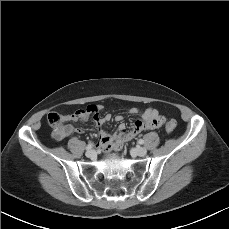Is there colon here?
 Instances as JSON below:
<instances>
[{
  "mask_svg": "<svg viewBox=\"0 0 229 229\" xmlns=\"http://www.w3.org/2000/svg\"><path fill=\"white\" fill-rule=\"evenodd\" d=\"M87 114H95L98 111V107L95 105H90L84 110ZM48 123L49 125L54 129L56 137L60 138L63 137L66 130L67 125L62 122L60 115L54 111H51L48 114ZM162 123V118L156 114L155 112H152L151 114V126H158ZM177 123L174 120H169L165 124V129L168 132H172L176 129Z\"/></svg>",
  "mask_w": 229,
  "mask_h": 229,
  "instance_id": "obj_1",
  "label": "colon"
}]
</instances>
